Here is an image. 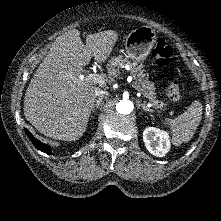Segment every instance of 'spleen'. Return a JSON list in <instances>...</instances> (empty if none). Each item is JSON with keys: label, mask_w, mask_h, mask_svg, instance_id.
<instances>
[{"label": "spleen", "mask_w": 221, "mask_h": 221, "mask_svg": "<svg viewBox=\"0 0 221 221\" xmlns=\"http://www.w3.org/2000/svg\"><path fill=\"white\" fill-rule=\"evenodd\" d=\"M203 114L202 104L195 100L188 110L175 119L165 118V124L172 132V142L179 146L182 142H188L193 137Z\"/></svg>", "instance_id": "3e777b00"}]
</instances>
